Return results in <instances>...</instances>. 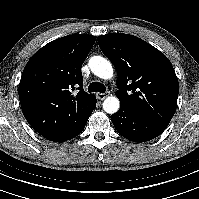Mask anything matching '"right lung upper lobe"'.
Returning <instances> with one entry per match:
<instances>
[{
	"mask_svg": "<svg viewBox=\"0 0 199 199\" xmlns=\"http://www.w3.org/2000/svg\"><path fill=\"white\" fill-rule=\"evenodd\" d=\"M95 40L87 34L61 37L26 64L19 84L20 104L26 120L42 136L73 128L95 103V96L83 90L81 73ZM75 89L77 94L72 93Z\"/></svg>",
	"mask_w": 199,
	"mask_h": 199,
	"instance_id": "1",
	"label": "right lung upper lobe"
}]
</instances>
